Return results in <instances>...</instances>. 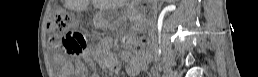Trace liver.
Instances as JSON below:
<instances>
[{
  "instance_id": "6515ba94",
  "label": "liver",
  "mask_w": 258,
  "mask_h": 77,
  "mask_svg": "<svg viewBox=\"0 0 258 77\" xmlns=\"http://www.w3.org/2000/svg\"><path fill=\"white\" fill-rule=\"evenodd\" d=\"M91 2L95 7L99 9L110 8L120 3L119 0H92ZM66 3L69 8L77 10H87L89 0H67Z\"/></svg>"
}]
</instances>
